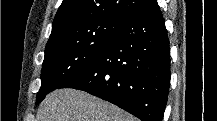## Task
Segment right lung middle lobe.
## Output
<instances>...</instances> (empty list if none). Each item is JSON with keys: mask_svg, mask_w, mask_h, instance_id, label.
I'll return each instance as SVG.
<instances>
[{"mask_svg": "<svg viewBox=\"0 0 217 121\" xmlns=\"http://www.w3.org/2000/svg\"><path fill=\"white\" fill-rule=\"evenodd\" d=\"M123 24L113 19L81 23L47 43L36 104L96 60Z\"/></svg>", "mask_w": 217, "mask_h": 121, "instance_id": "1", "label": "right lung middle lobe"}]
</instances>
